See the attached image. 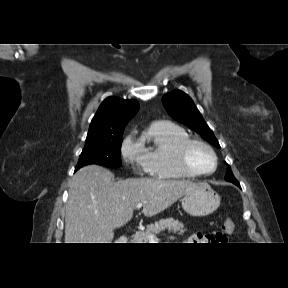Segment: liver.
<instances>
[{"mask_svg": "<svg viewBox=\"0 0 288 288\" xmlns=\"http://www.w3.org/2000/svg\"><path fill=\"white\" fill-rule=\"evenodd\" d=\"M113 174L98 165L78 170L69 183L65 212V243H111L114 230L133 217L138 203L152 217L197 185L186 180L153 178L112 181Z\"/></svg>", "mask_w": 288, "mask_h": 288, "instance_id": "6515ba94", "label": "liver"}]
</instances>
